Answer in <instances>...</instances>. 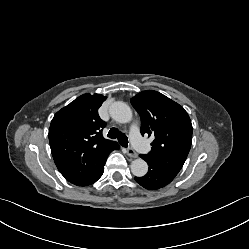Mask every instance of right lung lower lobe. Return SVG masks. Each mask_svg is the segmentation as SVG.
Returning a JSON list of instances; mask_svg holds the SVG:
<instances>
[{"instance_id":"obj_1","label":"right lung lower lobe","mask_w":249,"mask_h":249,"mask_svg":"<svg viewBox=\"0 0 249 249\" xmlns=\"http://www.w3.org/2000/svg\"><path fill=\"white\" fill-rule=\"evenodd\" d=\"M119 149V145L117 144L115 147L111 148L101 159L100 163H99V166H98V169L96 170V172L94 173V175L92 176V178L84 185H90L94 182H96L100 177L101 175L103 174V171H104V165H105V162H106V159L109 155V153L113 150H117Z\"/></svg>"}]
</instances>
